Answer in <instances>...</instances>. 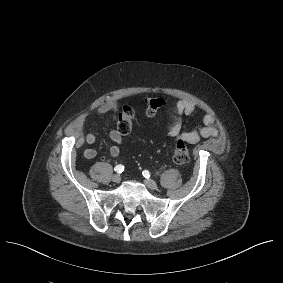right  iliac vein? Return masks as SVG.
<instances>
[{
    "mask_svg": "<svg viewBox=\"0 0 283 283\" xmlns=\"http://www.w3.org/2000/svg\"><path fill=\"white\" fill-rule=\"evenodd\" d=\"M120 180H121V177H120L119 174H115V175L112 176V181H113L114 183H119Z\"/></svg>",
    "mask_w": 283,
    "mask_h": 283,
    "instance_id": "63e3f726",
    "label": "right iliac vein"
}]
</instances>
